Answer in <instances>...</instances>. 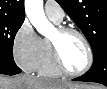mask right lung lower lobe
<instances>
[{"label":"right lung lower lobe","instance_id":"right-lung-lower-lobe-1","mask_svg":"<svg viewBox=\"0 0 107 89\" xmlns=\"http://www.w3.org/2000/svg\"><path fill=\"white\" fill-rule=\"evenodd\" d=\"M21 70L18 67L11 68L5 65H0V73L6 75H15L19 73Z\"/></svg>","mask_w":107,"mask_h":89}]
</instances>
